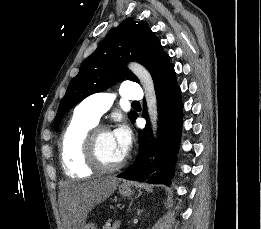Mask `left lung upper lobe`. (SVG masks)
Listing matches in <instances>:
<instances>
[{
  "label": "left lung upper lobe",
  "instance_id": "5c2ea615",
  "mask_svg": "<svg viewBox=\"0 0 261 229\" xmlns=\"http://www.w3.org/2000/svg\"><path fill=\"white\" fill-rule=\"evenodd\" d=\"M169 60L146 22L125 19L111 30L71 80L55 117V131L64 114L87 96L102 92L125 78L139 82L126 68L127 62L137 61L144 65L155 80L161 72L171 67ZM136 115L135 111H131L129 118L134 121Z\"/></svg>",
  "mask_w": 261,
  "mask_h": 229
}]
</instances>
